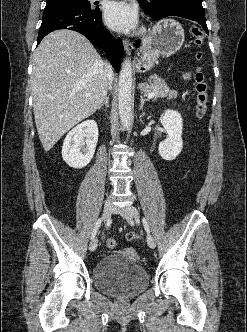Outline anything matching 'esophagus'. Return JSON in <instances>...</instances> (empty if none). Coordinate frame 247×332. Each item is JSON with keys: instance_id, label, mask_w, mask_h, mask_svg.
<instances>
[{"instance_id": "1", "label": "esophagus", "mask_w": 247, "mask_h": 332, "mask_svg": "<svg viewBox=\"0 0 247 332\" xmlns=\"http://www.w3.org/2000/svg\"><path fill=\"white\" fill-rule=\"evenodd\" d=\"M123 45H124V49L126 51L127 54H130V52L133 49V44L130 40L128 39H123Z\"/></svg>"}]
</instances>
